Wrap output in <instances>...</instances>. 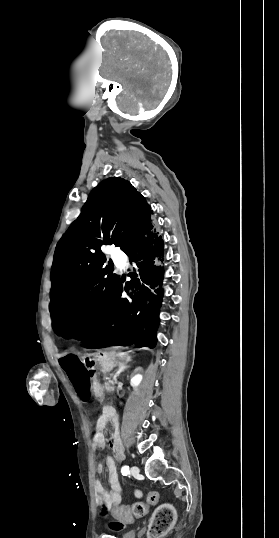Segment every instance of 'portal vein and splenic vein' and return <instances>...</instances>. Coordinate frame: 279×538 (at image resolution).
<instances>
[{
    "label": "portal vein and splenic vein",
    "mask_w": 279,
    "mask_h": 538,
    "mask_svg": "<svg viewBox=\"0 0 279 538\" xmlns=\"http://www.w3.org/2000/svg\"><path fill=\"white\" fill-rule=\"evenodd\" d=\"M108 383H114V380H108Z\"/></svg>",
    "instance_id": "portal-vein-and-splenic-vein-1"
}]
</instances>
